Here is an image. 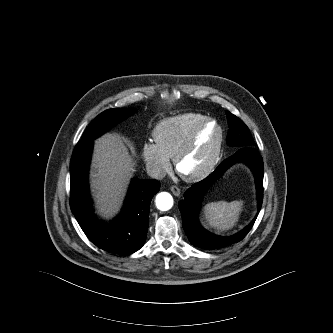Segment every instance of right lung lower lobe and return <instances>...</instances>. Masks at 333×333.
<instances>
[{"label": "right lung lower lobe", "mask_w": 333, "mask_h": 333, "mask_svg": "<svg viewBox=\"0 0 333 333\" xmlns=\"http://www.w3.org/2000/svg\"><path fill=\"white\" fill-rule=\"evenodd\" d=\"M93 141H80L73 152L70 205L80 227L97 247L116 254H130L145 243L149 223V206L159 191L157 180H133L119 217L110 224L96 220L88 191V168Z\"/></svg>", "instance_id": "98d812e1"}]
</instances>
